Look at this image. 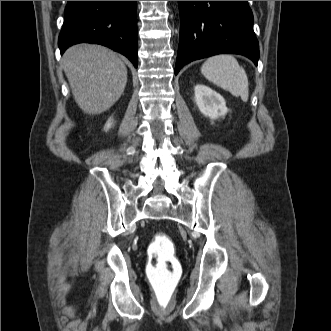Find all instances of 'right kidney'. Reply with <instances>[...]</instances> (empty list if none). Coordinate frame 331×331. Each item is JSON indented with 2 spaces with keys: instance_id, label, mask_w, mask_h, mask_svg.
<instances>
[{
  "instance_id": "right-kidney-1",
  "label": "right kidney",
  "mask_w": 331,
  "mask_h": 331,
  "mask_svg": "<svg viewBox=\"0 0 331 331\" xmlns=\"http://www.w3.org/2000/svg\"><path fill=\"white\" fill-rule=\"evenodd\" d=\"M112 126V120L109 119L108 122L106 123L105 130L107 131L109 128Z\"/></svg>"
}]
</instances>
